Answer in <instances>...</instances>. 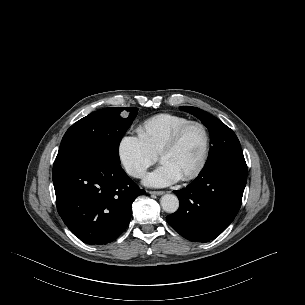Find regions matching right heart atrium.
<instances>
[{"label": "right heart atrium", "mask_w": 305, "mask_h": 305, "mask_svg": "<svg viewBox=\"0 0 305 305\" xmlns=\"http://www.w3.org/2000/svg\"><path fill=\"white\" fill-rule=\"evenodd\" d=\"M117 152L125 171L135 178L142 177L156 161V155L148 149L139 136L133 134H125L121 137Z\"/></svg>", "instance_id": "right-heart-atrium-1"}]
</instances>
